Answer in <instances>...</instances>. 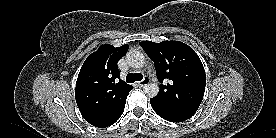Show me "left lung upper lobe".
I'll return each mask as SVG.
<instances>
[{
  "instance_id": "left-lung-upper-lobe-1",
  "label": "left lung upper lobe",
  "mask_w": 276,
  "mask_h": 138,
  "mask_svg": "<svg viewBox=\"0 0 276 138\" xmlns=\"http://www.w3.org/2000/svg\"><path fill=\"white\" fill-rule=\"evenodd\" d=\"M140 45L153 60L161 83L159 94L150 102L160 109L192 117L206 86L205 70L198 55L180 41H142ZM164 80L169 83L162 84Z\"/></svg>"
}]
</instances>
